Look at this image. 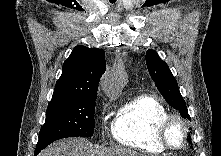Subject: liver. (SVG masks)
I'll list each match as a JSON object with an SVG mask.
<instances>
[{
    "label": "liver",
    "instance_id": "6515ba94",
    "mask_svg": "<svg viewBox=\"0 0 221 156\" xmlns=\"http://www.w3.org/2000/svg\"><path fill=\"white\" fill-rule=\"evenodd\" d=\"M39 156H143L124 147H95L83 138L57 141L44 149Z\"/></svg>",
    "mask_w": 221,
    "mask_h": 156
}]
</instances>
